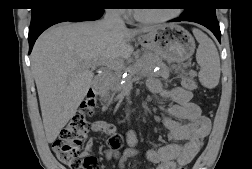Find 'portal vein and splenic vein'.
Wrapping results in <instances>:
<instances>
[{
    "instance_id": "portal-vein-and-splenic-vein-1",
    "label": "portal vein and splenic vein",
    "mask_w": 252,
    "mask_h": 169,
    "mask_svg": "<svg viewBox=\"0 0 252 169\" xmlns=\"http://www.w3.org/2000/svg\"><path fill=\"white\" fill-rule=\"evenodd\" d=\"M96 65H105L113 70H120L123 68V64L116 60L99 61L94 65V67Z\"/></svg>"
}]
</instances>
